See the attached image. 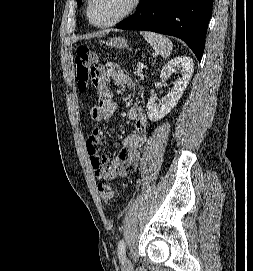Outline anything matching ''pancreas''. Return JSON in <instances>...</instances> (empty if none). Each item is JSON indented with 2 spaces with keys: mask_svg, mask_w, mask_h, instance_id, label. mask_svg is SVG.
Returning a JSON list of instances; mask_svg holds the SVG:
<instances>
[{
  "mask_svg": "<svg viewBox=\"0 0 253 271\" xmlns=\"http://www.w3.org/2000/svg\"><path fill=\"white\" fill-rule=\"evenodd\" d=\"M134 74L139 76L142 80L144 79V74L142 73L141 68H138L134 71Z\"/></svg>",
  "mask_w": 253,
  "mask_h": 271,
  "instance_id": "pancreas-1",
  "label": "pancreas"
}]
</instances>
